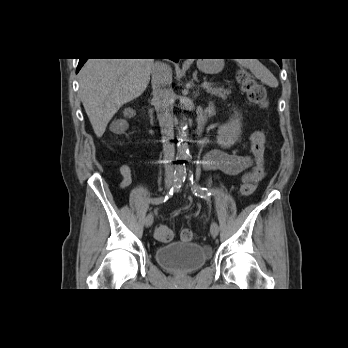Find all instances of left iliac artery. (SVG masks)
<instances>
[{
  "instance_id": "obj_1",
  "label": "left iliac artery",
  "mask_w": 348,
  "mask_h": 348,
  "mask_svg": "<svg viewBox=\"0 0 348 348\" xmlns=\"http://www.w3.org/2000/svg\"><path fill=\"white\" fill-rule=\"evenodd\" d=\"M189 180L191 183V189L197 197L204 198V195H211L212 196V195H214V193L216 195H219L221 193V190L219 188H216L215 192H214V190H212V189H207L205 187H201L200 185L195 183V180L193 178V174L191 171L189 173ZM221 196H224V193H221Z\"/></svg>"
}]
</instances>
